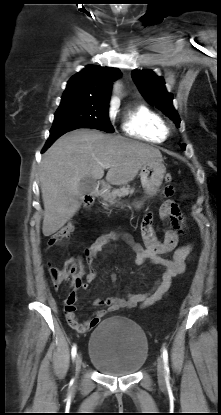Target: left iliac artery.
Instances as JSON below:
<instances>
[{
    "label": "left iliac artery",
    "instance_id": "44dca946",
    "mask_svg": "<svg viewBox=\"0 0 221 415\" xmlns=\"http://www.w3.org/2000/svg\"><path fill=\"white\" fill-rule=\"evenodd\" d=\"M162 355H163V361H164V365H165V371L168 374V372H169V367H168V352H167V350L165 348L163 349Z\"/></svg>",
    "mask_w": 221,
    "mask_h": 415
}]
</instances>
